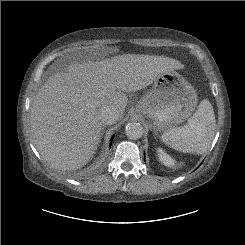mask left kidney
<instances>
[{
    "label": "left kidney",
    "instance_id": "left-kidney-1",
    "mask_svg": "<svg viewBox=\"0 0 245 245\" xmlns=\"http://www.w3.org/2000/svg\"><path fill=\"white\" fill-rule=\"evenodd\" d=\"M158 157L159 160L166 166H173L175 164V161L168 155L166 154L162 149H158Z\"/></svg>",
    "mask_w": 245,
    "mask_h": 245
}]
</instances>
